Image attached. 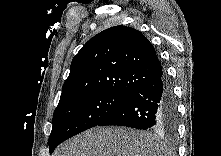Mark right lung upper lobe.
I'll list each match as a JSON object with an SVG mask.
<instances>
[{
	"label": "right lung upper lobe",
	"mask_w": 221,
	"mask_h": 156,
	"mask_svg": "<svg viewBox=\"0 0 221 156\" xmlns=\"http://www.w3.org/2000/svg\"><path fill=\"white\" fill-rule=\"evenodd\" d=\"M162 73L154 47L140 31L111 27L75 55L59 103L100 92L131 96Z\"/></svg>",
	"instance_id": "obj_1"
}]
</instances>
